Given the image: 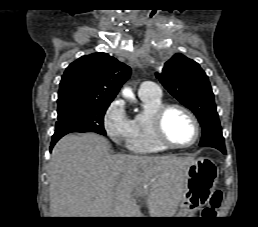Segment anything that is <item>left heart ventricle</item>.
<instances>
[{
  "label": "left heart ventricle",
  "instance_id": "b2bd125f",
  "mask_svg": "<svg viewBox=\"0 0 258 227\" xmlns=\"http://www.w3.org/2000/svg\"><path fill=\"white\" fill-rule=\"evenodd\" d=\"M166 135L175 143H189L195 135L190 118L182 111L173 109L168 112L164 121Z\"/></svg>",
  "mask_w": 258,
  "mask_h": 227
}]
</instances>
